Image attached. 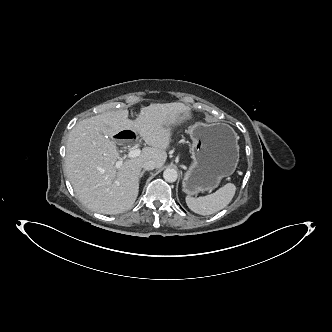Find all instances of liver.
<instances>
[{
    "instance_id": "6515ba94",
    "label": "liver",
    "mask_w": 332,
    "mask_h": 332,
    "mask_svg": "<svg viewBox=\"0 0 332 332\" xmlns=\"http://www.w3.org/2000/svg\"><path fill=\"white\" fill-rule=\"evenodd\" d=\"M128 115L124 109L84 119L68 136L65 169L69 181L80 201L101 214H119L133 206L139 193L142 163L153 160L156 168H161L167 159L171 126L192 117L180 102L142 107L135 121ZM129 129L136 130L148 147L116 168L119 154L109 137Z\"/></svg>"
}]
</instances>
